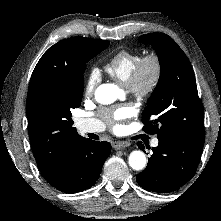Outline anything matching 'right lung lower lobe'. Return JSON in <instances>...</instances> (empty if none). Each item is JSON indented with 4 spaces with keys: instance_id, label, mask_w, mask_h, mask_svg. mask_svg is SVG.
Returning a JSON list of instances; mask_svg holds the SVG:
<instances>
[{
    "instance_id": "right-lung-lower-lobe-1",
    "label": "right lung lower lobe",
    "mask_w": 221,
    "mask_h": 221,
    "mask_svg": "<svg viewBox=\"0 0 221 221\" xmlns=\"http://www.w3.org/2000/svg\"><path fill=\"white\" fill-rule=\"evenodd\" d=\"M110 150L106 141L83 138L64 153L56 173L46 180L64 193L86 190L96 183Z\"/></svg>"
}]
</instances>
